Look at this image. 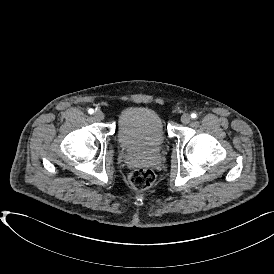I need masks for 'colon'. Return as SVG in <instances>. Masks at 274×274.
Segmentation results:
<instances>
[{
	"label": "colon",
	"mask_w": 274,
	"mask_h": 274,
	"mask_svg": "<svg viewBox=\"0 0 274 274\" xmlns=\"http://www.w3.org/2000/svg\"><path fill=\"white\" fill-rule=\"evenodd\" d=\"M130 185L138 191L151 188L155 183V174L150 168H138L129 175Z\"/></svg>",
	"instance_id": "1"
}]
</instances>
